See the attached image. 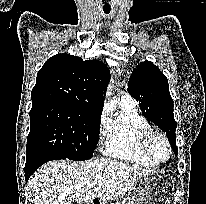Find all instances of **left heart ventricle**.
Wrapping results in <instances>:
<instances>
[{"label": "left heart ventricle", "mask_w": 206, "mask_h": 204, "mask_svg": "<svg viewBox=\"0 0 206 204\" xmlns=\"http://www.w3.org/2000/svg\"><path fill=\"white\" fill-rule=\"evenodd\" d=\"M151 150L156 158L165 159L167 157V147L161 139H154L151 144Z\"/></svg>", "instance_id": "obj_1"}]
</instances>
